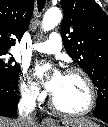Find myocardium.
Instances as JSON below:
<instances>
[{
	"mask_svg": "<svg viewBox=\"0 0 108 127\" xmlns=\"http://www.w3.org/2000/svg\"><path fill=\"white\" fill-rule=\"evenodd\" d=\"M65 74H77L83 79V81L87 87V90H88V96H89L88 104L82 110L68 111V110L62 109L57 104L54 96L52 95L50 98V105H51L52 109L54 111H56L57 113L66 115V116H83V115L90 113L94 109L96 102H97V93H96V89H95V86H94V83H93L91 77L88 75V73L86 71H84L83 69L78 68V67L68 68L65 71Z\"/></svg>",
	"mask_w": 108,
	"mask_h": 127,
	"instance_id": "obj_1",
	"label": "myocardium"
}]
</instances>
